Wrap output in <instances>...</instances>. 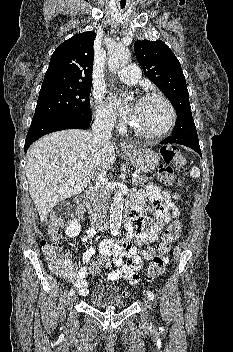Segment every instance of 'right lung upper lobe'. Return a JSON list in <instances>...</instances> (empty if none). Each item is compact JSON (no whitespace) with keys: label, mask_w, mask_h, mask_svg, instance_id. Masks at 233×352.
Wrapping results in <instances>:
<instances>
[{"label":"right lung upper lobe","mask_w":233,"mask_h":352,"mask_svg":"<svg viewBox=\"0 0 233 352\" xmlns=\"http://www.w3.org/2000/svg\"><path fill=\"white\" fill-rule=\"evenodd\" d=\"M95 37L83 32L63 42L51 56L42 87L92 85Z\"/></svg>","instance_id":"obj_1"}]
</instances>
